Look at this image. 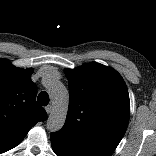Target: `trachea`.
I'll list each match as a JSON object with an SVG mask.
<instances>
[{
    "label": "trachea",
    "instance_id": "trachea-1",
    "mask_svg": "<svg viewBox=\"0 0 156 156\" xmlns=\"http://www.w3.org/2000/svg\"><path fill=\"white\" fill-rule=\"evenodd\" d=\"M37 101L39 104H41L42 106H46L49 103V95L47 92L43 91L41 92L38 97H37Z\"/></svg>",
    "mask_w": 156,
    "mask_h": 156
}]
</instances>
